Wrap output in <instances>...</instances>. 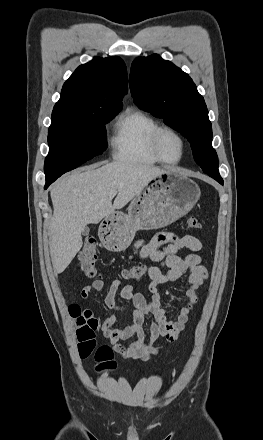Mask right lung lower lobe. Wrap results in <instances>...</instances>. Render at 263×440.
<instances>
[{"instance_id":"right-lung-lower-lobe-1","label":"right lung lower lobe","mask_w":263,"mask_h":440,"mask_svg":"<svg viewBox=\"0 0 263 440\" xmlns=\"http://www.w3.org/2000/svg\"><path fill=\"white\" fill-rule=\"evenodd\" d=\"M55 180L54 179H51V180H46V186H45V189L52 183V182H54Z\"/></svg>"}]
</instances>
